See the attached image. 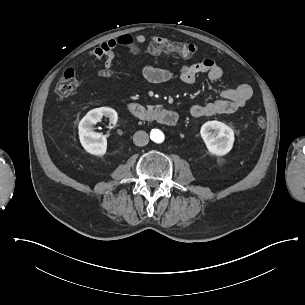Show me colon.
Instances as JSON below:
<instances>
[{
  "instance_id": "1",
  "label": "colon",
  "mask_w": 305,
  "mask_h": 305,
  "mask_svg": "<svg viewBox=\"0 0 305 305\" xmlns=\"http://www.w3.org/2000/svg\"><path fill=\"white\" fill-rule=\"evenodd\" d=\"M132 40L133 35L131 33H125L124 35L118 36L115 42L117 43V47L118 45L133 47L135 44ZM153 51H157L158 53L178 52L185 57H192L197 53V48L192 43H165L162 47L154 48ZM100 74L105 76L110 75V71L108 69H102ZM79 85L80 82L76 73L73 70H67L56 85V95L60 100H66L76 92ZM256 124L258 127L264 128L266 125L265 118L263 116H257Z\"/></svg>"
}]
</instances>
